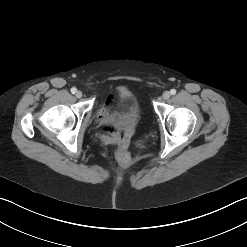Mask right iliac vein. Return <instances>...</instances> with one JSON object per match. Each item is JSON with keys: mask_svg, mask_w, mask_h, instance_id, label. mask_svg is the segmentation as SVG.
Listing matches in <instances>:
<instances>
[{"mask_svg": "<svg viewBox=\"0 0 247 247\" xmlns=\"http://www.w3.org/2000/svg\"><path fill=\"white\" fill-rule=\"evenodd\" d=\"M75 95L77 98H81L83 94L81 91H77Z\"/></svg>", "mask_w": 247, "mask_h": 247, "instance_id": "obj_1", "label": "right iliac vein"}]
</instances>
